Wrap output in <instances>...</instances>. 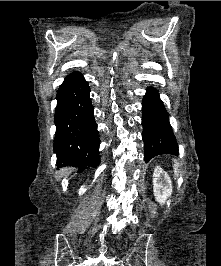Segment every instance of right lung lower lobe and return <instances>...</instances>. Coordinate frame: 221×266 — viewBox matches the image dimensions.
Segmentation results:
<instances>
[{"mask_svg": "<svg viewBox=\"0 0 221 266\" xmlns=\"http://www.w3.org/2000/svg\"><path fill=\"white\" fill-rule=\"evenodd\" d=\"M89 94V85L79 72L66 76L58 89L54 151L59 167L71 165L80 172L100 163V139Z\"/></svg>", "mask_w": 221, "mask_h": 266, "instance_id": "obj_1", "label": "right lung lower lobe"}]
</instances>
